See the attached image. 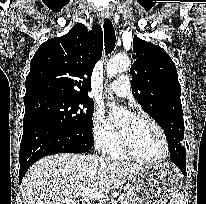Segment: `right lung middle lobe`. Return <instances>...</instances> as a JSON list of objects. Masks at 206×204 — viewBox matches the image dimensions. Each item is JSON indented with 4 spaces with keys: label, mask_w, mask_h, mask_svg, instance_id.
Masks as SVG:
<instances>
[{
    "label": "right lung middle lobe",
    "mask_w": 206,
    "mask_h": 204,
    "mask_svg": "<svg viewBox=\"0 0 206 204\" xmlns=\"http://www.w3.org/2000/svg\"><path fill=\"white\" fill-rule=\"evenodd\" d=\"M26 124L30 120H42L63 129L76 131L87 139L91 133L94 103L91 99L57 94H40L25 98Z\"/></svg>",
    "instance_id": "right-lung-middle-lobe-1"
}]
</instances>
